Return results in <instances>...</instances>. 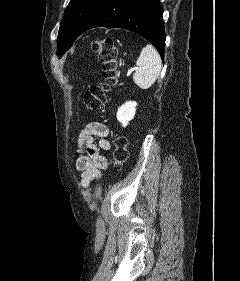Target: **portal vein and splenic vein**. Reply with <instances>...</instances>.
Wrapping results in <instances>:
<instances>
[{
  "mask_svg": "<svg viewBox=\"0 0 240 281\" xmlns=\"http://www.w3.org/2000/svg\"><path fill=\"white\" fill-rule=\"evenodd\" d=\"M137 68H132L128 71L127 76H130L132 74V72L136 71Z\"/></svg>",
  "mask_w": 240,
  "mask_h": 281,
  "instance_id": "1",
  "label": "portal vein and splenic vein"
}]
</instances>
